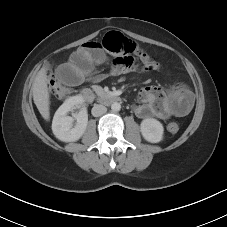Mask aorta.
I'll use <instances>...</instances> for the list:
<instances>
[{"instance_id": "obj_1", "label": "aorta", "mask_w": 227, "mask_h": 227, "mask_svg": "<svg viewBox=\"0 0 227 227\" xmlns=\"http://www.w3.org/2000/svg\"><path fill=\"white\" fill-rule=\"evenodd\" d=\"M120 109H121L120 103H118V102L112 103V105H111V110H112L113 112H118V111H120Z\"/></svg>"}]
</instances>
